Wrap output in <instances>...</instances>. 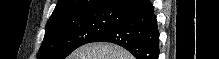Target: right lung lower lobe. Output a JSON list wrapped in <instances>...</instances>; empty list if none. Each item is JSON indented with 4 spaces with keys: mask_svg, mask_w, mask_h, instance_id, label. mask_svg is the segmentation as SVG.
Instances as JSON below:
<instances>
[{
    "mask_svg": "<svg viewBox=\"0 0 219 59\" xmlns=\"http://www.w3.org/2000/svg\"><path fill=\"white\" fill-rule=\"evenodd\" d=\"M121 20L99 34L92 42L118 44L137 59H158L159 32L149 0H123L113 7Z\"/></svg>",
    "mask_w": 219,
    "mask_h": 59,
    "instance_id": "obj_1",
    "label": "right lung lower lobe"
}]
</instances>
